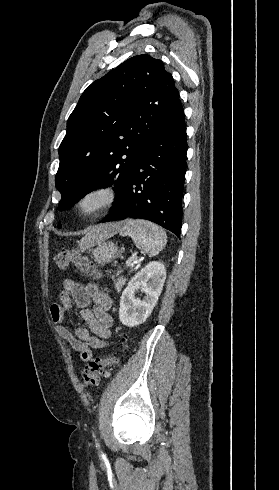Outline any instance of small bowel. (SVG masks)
I'll return each instance as SVG.
<instances>
[{"mask_svg": "<svg viewBox=\"0 0 279 490\" xmlns=\"http://www.w3.org/2000/svg\"><path fill=\"white\" fill-rule=\"evenodd\" d=\"M63 291L59 295V303L50 306V316L58 336L67 342L83 361L92 359V350H100L107 346L111 338L112 318L109 310L112 301L95 283L83 285L74 279L63 281ZM81 308L80 317L88 327H77L71 332L65 326L66 314L73 305ZM93 304V308L89 306Z\"/></svg>", "mask_w": 279, "mask_h": 490, "instance_id": "1", "label": "small bowel"}]
</instances>
